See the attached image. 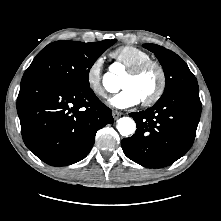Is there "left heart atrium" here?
Masks as SVG:
<instances>
[{
  "label": "left heart atrium",
  "instance_id": "left-heart-atrium-1",
  "mask_svg": "<svg viewBox=\"0 0 221 221\" xmlns=\"http://www.w3.org/2000/svg\"><path fill=\"white\" fill-rule=\"evenodd\" d=\"M139 96L131 88H123L110 99V103L117 108H128L140 102Z\"/></svg>",
  "mask_w": 221,
  "mask_h": 221
}]
</instances>
